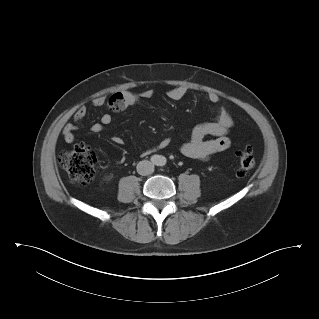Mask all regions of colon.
Segmentation results:
<instances>
[{
  "instance_id": "5ec220e1",
  "label": "colon",
  "mask_w": 319,
  "mask_h": 319,
  "mask_svg": "<svg viewBox=\"0 0 319 319\" xmlns=\"http://www.w3.org/2000/svg\"><path fill=\"white\" fill-rule=\"evenodd\" d=\"M121 94H115L110 99L111 107L114 111L123 109ZM238 176H245L256 165V160L252 149L245 147L238 151ZM97 158L95 152L87 145L80 144L71 151L60 154L58 163L68 174L70 181L87 185L95 176V166Z\"/></svg>"
}]
</instances>
